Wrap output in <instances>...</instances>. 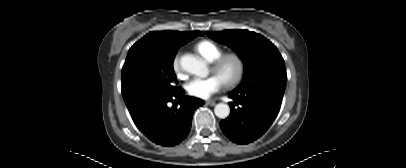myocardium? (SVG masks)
Listing matches in <instances>:
<instances>
[{"mask_svg": "<svg viewBox=\"0 0 406 168\" xmlns=\"http://www.w3.org/2000/svg\"><path fill=\"white\" fill-rule=\"evenodd\" d=\"M228 62H233L235 65L234 75L225 81L224 85L228 88L235 87L243 79L245 73V61L243 57L237 52H230L222 54L216 60L212 62L211 70L213 73H219Z\"/></svg>", "mask_w": 406, "mask_h": 168, "instance_id": "obj_1", "label": "myocardium"}]
</instances>
